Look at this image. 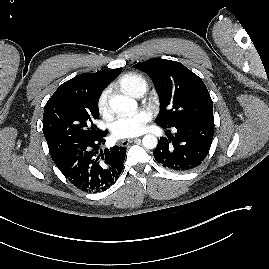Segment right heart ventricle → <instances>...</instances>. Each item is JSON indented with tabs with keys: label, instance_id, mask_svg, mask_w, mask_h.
<instances>
[{
	"label": "right heart ventricle",
	"instance_id": "right-heart-ventricle-1",
	"mask_svg": "<svg viewBox=\"0 0 269 269\" xmlns=\"http://www.w3.org/2000/svg\"><path fill=\"white\" fill-rule=\"evenodd\" d=\"M117 85L124 93L136 97L140 91L146 90L147 81L142 75L129 72L118 79Z\"/></svg>",
	"mask_w": 269,
	"mask_h": 269
}]
</instances>
